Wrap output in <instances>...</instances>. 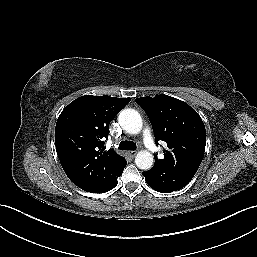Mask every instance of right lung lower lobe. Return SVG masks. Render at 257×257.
I'll list each match as a JSON object with an SVG mask.
<instances>
[{
  "label": "right lung lower lobe",
  "instance_id": "obj_1",
  "mask_svg": "<svg viewBox=\"0 0 257 257\" xmlns=\"http://www.w3.org/2000/svg\"><path fill=\"white\" fill-rule=\"evenodd\" d=\"M126 164H127V162H126V160H124L122 168L108 182H106L104 184H101L99 186H96V187L86 188V189H83V190L88 191V192H92V193H104V192H107L110 189L114 188L116 186V184H117V178L122 175L123 169L126 166Z\"/></svg>",
  "mask_w": 257,
  "mask_h": 257
}]
</instances>
